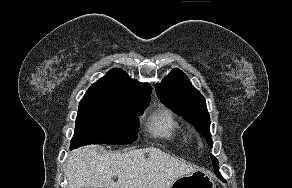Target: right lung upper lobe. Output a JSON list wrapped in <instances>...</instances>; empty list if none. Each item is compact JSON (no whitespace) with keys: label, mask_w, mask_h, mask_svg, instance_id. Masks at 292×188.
Wrapping results in <instances>:
<instances>
[{"label":"right lung upper lobe","mask_w":292,"mask_h":188,"mask_svg":"<svg viewBox=\"0 0 292 188\" xmlns=\"http://www.w3.org/2000/svg\"><path fill=\"white\" fill-rule=\"evenodd\" d=\"M90 88H102L127 93L137 99L150 101L151 86L148 83H137L119 68L112 69Z\"/></svg>","instance_id":"obj_1"}]
</instances>
